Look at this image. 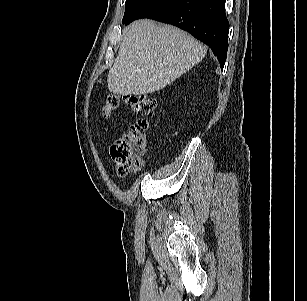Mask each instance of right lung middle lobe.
<instances>
[{
    "mask_svg": "<svg viewBox=\"0 0 307 301\" xmlns=\"http://www.w3.org/2000/svg\"><path fill=\"white\" fill-rule=\"evenodd\" d=\"M161 1L163 0H126L122 22H124L125 25L131 23Z\"/></svg>",
    "mask_w": 307,
    "mask_h": 301,
    "instance_id": "1",
    "label": "right lung middle lobe"
}]
</instances>
